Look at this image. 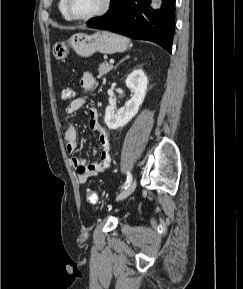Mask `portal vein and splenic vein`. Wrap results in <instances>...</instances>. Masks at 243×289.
I'll return each instance as SVG.
<instances>
[{
	"instance_id": "obj_1",
	"label": "portal vein and splenic vein",
	"mask_w": 243,
	"mask_h": 289,
	"mask_svg": "<svg viewBox=\"0 0 243 289\" xmlns=\"http://www.w3.org/2000/svg\"><path fill=\"white\" fill-rule=\"evenodd\" d=\"M111 64H113L114 63V60L113 59H110V61H109Z\"/></svg>"
}]
</instances>
